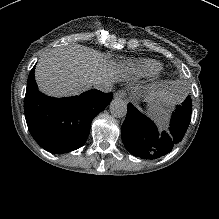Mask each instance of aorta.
Listing matches in <instances>:
<instances>
[{
    "label": "aorta",
    "instance_id": "aorta-1",
    "mask_svg": "<svg viewBox=\"0 0 219 219\" xmlns=\"http://www.w3.org/2000/svg\"><path fill=\"white\" fill-rule=\"evenodd\" d=\"M109 110L114 118H123L127 114V104L122 99H114L109 105Z\"/></svg>",
    "mask_w": 219,
    "mask_h": 219
}]
</instances>
